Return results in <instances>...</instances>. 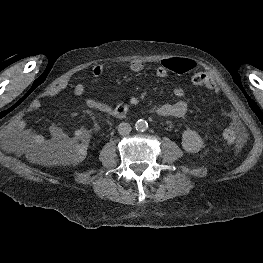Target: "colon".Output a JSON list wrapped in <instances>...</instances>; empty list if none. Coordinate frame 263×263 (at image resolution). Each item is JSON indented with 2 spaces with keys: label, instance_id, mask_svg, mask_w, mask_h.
<instances>
[{
  "label": "colon",
  "instance_id": "colon-1",
  "mask_svg": "<svg viewBox=\"0 0 263 263\" xmlns=\"http://www.w3.org/2000/svg\"><path fill=\"white\" fill-rule=\"evenodd\" d=\"M167 67L175 74L183 75L192 70V63L184 58H172L166 63ZM192 83L198 87H205L216 94H219V88L206 73H196L192 77ZM228 115L231 112H227ZM224 139L229 145L240 148L244 145L246 134L243 128L237 124H231L224 130ZM85 140L82 137H72L69 141L59 146L57 149L50 153V156L57 159H64L74 161L84 154Z\"/></svg>",
  "mask_w": 263,
  "mask_h": 263
}]
</instances>
